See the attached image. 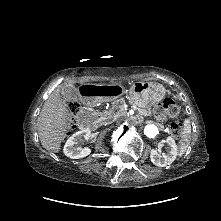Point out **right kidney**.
Segmentation results:
<instances>
[{
  "instance_id": "1",
  "label": "right kidney",
  "mask_w": 221,
  "mask_h": 221,
  "mask_svg": "<svg viewBox=\"0 0 221 221\" xmlns=\"http://www.w3.org/2000/svg\"><path fill=\"white\" fill-rule=\"evenodd\" d=\"M90 135L91 132L89 130H81L74 133L65 143L63 149L64 154L72 159L83 158L89 155L91 152L90 148L75 147V145L82 142L83 140L89 139Z\"/></svg>"
}]
</instances>
